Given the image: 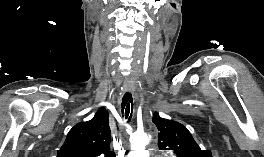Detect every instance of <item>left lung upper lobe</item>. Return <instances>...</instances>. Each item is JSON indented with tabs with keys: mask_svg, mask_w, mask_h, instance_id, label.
I'll return each instance as SVG.
<instances>
[{
	"mask_svg": "<svg viewBox=\"0 0 264 157\" xmlns=\"http://www.w3.org/2000/svg\"><path fill=\"white\" fill-rule=\"evenodd\" d=\"M153 123L160 133L158 146L161 150H172L177 157H212L210 150H201L191 133L182 124L163 119L158 113L153 116Z\"/></svg>",
	"mask_w": 264,
	"mask_h": 157,
	"instance_id": "obj_1",
	"label": "left lung upper lobe"
}]
</instances>
